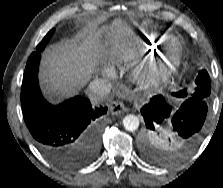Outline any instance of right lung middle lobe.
<instances>
[{
	"label": "right lung middle lobe",
	"instance_id": "right-lung-middle-lobe-1",
	"mask_svg": "<svg viewBox=\"0 0 223 188\" xmlns=\"http://www.w3.org/2000/svg\"><path fill=\"white\" fill-rule=\"evenodd\" d=\"M54 33V29L50 30L48 34L43 38V40L39 43V45L36 48V51H42L45 47L48 41L50 40L51 36ZM98 152V151H97Z\"/></svg>",
	"mask_w": 223,
	"mask_h": 188
}]
</instances>
